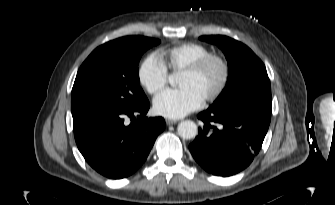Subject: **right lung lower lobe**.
<instances>
[{"instance_id":"right-lung-lower-lobe-1","label":"right lung lower lobe","mask_w":335,"mask_h":205,"mask_svg":"<svg viewBox=\"0 0 335 205\" xmlns=\"http://www.w3.org/2000/svg\"><path fill=\"white\" fill-rule=\"evenodd\" d=\"M149 107L146 99L134 108L73 115L77 147L92 168L108 178L121 179L144 163L165 128L162 117L145 116Z\"/></svg>"}]
</instances>
